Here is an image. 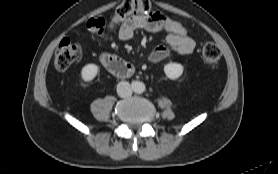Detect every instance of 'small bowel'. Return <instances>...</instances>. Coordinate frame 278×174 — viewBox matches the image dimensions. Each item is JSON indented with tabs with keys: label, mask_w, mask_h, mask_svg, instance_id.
Wrapping results in <instances>:
<instances>
[{
	"label": "small bowel",
	"mask_w": 278,
	"mask_h": 174,
	"mask_svg": "<svg viewBox=\"0 0 278 174\" xmlns=\"http://www.w3.org/2000/svg\"><path fill=\"white\" fill-rule=\"evenodd\" d=\"M165 16L160 12L138 13L125 19L118 27V36L121 40H130L138 30L151 33H165L166 46L158 45L150 53L151 62L157 63L166 59L170 51H175L181 55L191 54L196 43L191 37H182L168 31L161 18Z\"/></svg>",
	"instance_id": "small-bowel-1"
}]
</instances>
